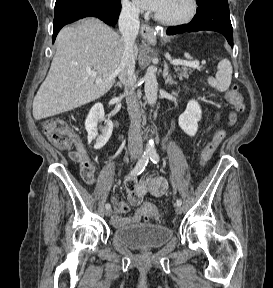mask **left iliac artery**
<instances>
[{
	"label": "left iliac artery",
	"mask_w": 273,
	"mask_h": 288,
	"mask_svg": "<svg viewBox=\"0 0 273 288\" xmlns=\"http://www.w3.org/2000/svg\"><path fill=\"white\" fill-rule=\"evenodd\" d=\"M150 159L153 163L157 164V162L159 161V155L158 153L156 152H153L151 155H150ZM176 205L177 206H181L182 205V200L181 199H178L176 201Z\"/></svg>",
	"instance_id": "obj_1"
}]
</instances>
